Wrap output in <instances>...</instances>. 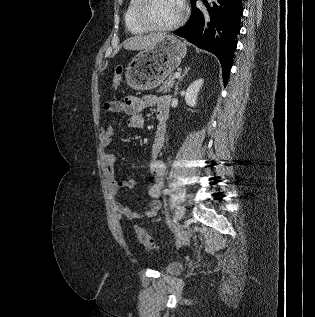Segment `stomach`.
<instances>
[{
  "instance_id": "stomach-1",
  "label": "stomach",
  "mask_w": 315,
  "mask_h": 317,
  "mask_svg": "<svg viewBox=\"0 0 315 317\" xmlns=\"http://www.w3.org/2000/svg\"><path fill=\"white\" fill-rule=\"evenodd\" d=\"M187 48L172 35L136 54L126 68V82L135 90H151L164 82L181 63Z\"/></svg>"
}]
</instances>
